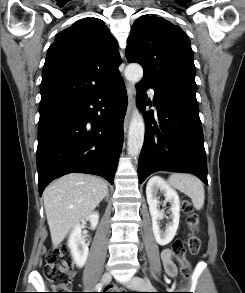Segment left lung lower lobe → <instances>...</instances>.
Returning <instances> with one entry per match:
<instances>
[{"instance_id":"left-lung-lower-lobe-1","label":"left lung lower lobe","mask_w":245,"mask_h":293,"mask_svg":"<svg viewBox=\"0 0 245 293\" xmlns=\"http://www.w3.org/2000/svg\"><path fill=\"white\" fill-rule=\"evenodd\" d=\"M144 88L155 91L158 125L153 111L145 112L146 105L139 103L147 121L138 163L139 183L154 172L169 171L194 174L207 185V162L198 105L158 93L152 85L141 82L137 92L144 101L147 99Z\"/></svg>"}]
</instances>
